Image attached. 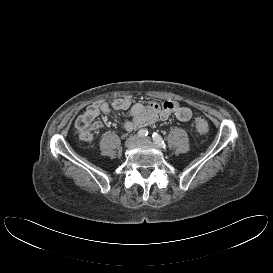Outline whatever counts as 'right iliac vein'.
<instances>
[{
	"label": "right iliac vein",
	"mask_w": 273,
	"mask_h": 273,
	"mask_svg": "<svg viewBox=\"0 0 273 273\" xmlns=\"http://www.w3.org/2000/svg\"><path fill=\"white\" fill-rule=\"evenodd\" d=\"M137 141H138V137H137V136H130V137L127 138L126 141H125V147H131V146H133Z\"/></svg>",
	"instance_id": "right-iliac-vein-1"
}]
</instances>
